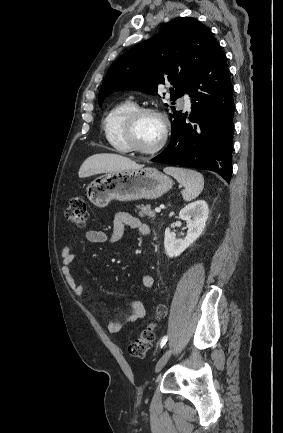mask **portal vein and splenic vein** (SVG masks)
Returning a JSON list of instances; mask_svg holds the SVG:
<instances>
[{
	"mask_svg": "<svg viewBox=\"0 0 283 433\" xmlns=\"http://www.w3.org/2000/svg\"><path fill=\"white\" fill-rule=\"evenodd\" d=\"M156 212H161V208H155Z\"/></svg>",
	"mask_w": 283,
	"mask_h": 433,
	"instance_id": "1",
	"label": "portal vein and splenic vein"
}]
</instances>
